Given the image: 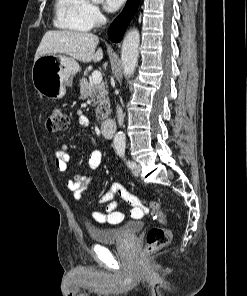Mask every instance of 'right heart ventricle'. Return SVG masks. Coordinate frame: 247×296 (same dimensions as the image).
I'll return each mask as SVG.
<instances>
[{
	"mask_svg": "<svg viewBox=\"0 0 247 296\" xmlns=\"http://www.w3.org/2000/svg\"><path fill=\"white\" fill-rule=\"evenodd\" d=\"M87 0H55L56 27L76 31L87 32L91 25L86 18Z\"/></svg>",
	"mask_w": 247,
	"mask_h": 296,
	"instance_id": "1",
	"label": "right heart ventricle"
}]
</instances>
